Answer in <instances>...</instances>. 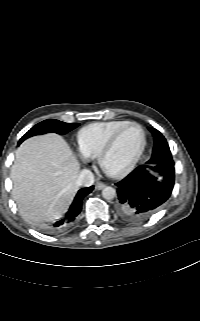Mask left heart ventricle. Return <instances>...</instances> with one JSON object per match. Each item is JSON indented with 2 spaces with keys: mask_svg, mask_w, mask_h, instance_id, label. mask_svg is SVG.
<instances>
[{
  "mask_svg": "<svg viewBox=\"0 0 200 321\" xmlns=\"http://www.w3.org/2000/svg\"><path fill=\"white\" fill-rule=\"evenodd\" d=\"M141 142L142 133L139 128L131 126L124 130L105 159L107 169L119 171L125 168L137 153Z\"/></svg>",
  "mask_w": 200,
  "mask_h": 321,
  "instance_id": "left-heart-ventricle-1",
  "label": "left heart ventricle"
}]
</instances>
